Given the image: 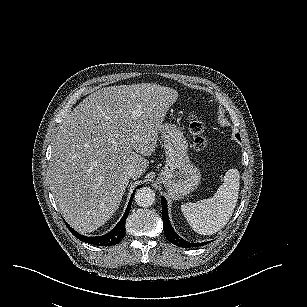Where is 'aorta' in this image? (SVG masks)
<instances>
[{
	"label": "aorta",
	"instance_id": "obj_1",
	"mask_svg": "<svg viewBox=\"0 0 307 307\" xmlns=\"http://www.w3.org/2000/svg\"><path fill=\"white\" fill-rule=\"evenodd\" d=\"M134 198L138 206L147 208L155 202V193L149 187H142L136 190Z\"/></svg>",
	"mask_w": 307,
	"mask_h": 307
}]
</instances>
